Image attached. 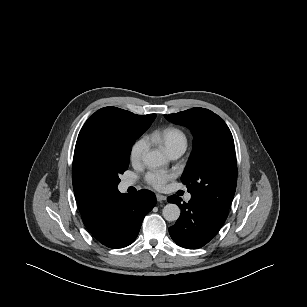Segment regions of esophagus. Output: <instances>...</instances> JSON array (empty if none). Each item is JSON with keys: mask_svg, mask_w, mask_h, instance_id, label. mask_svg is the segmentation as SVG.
I'll list each match as a JSON object with an SVG mask.
<instances>
[{"mask_svg": "<svg viewBox=\"0 0 307 307\" xmlns=\"http://www.w3.org/2000/svg\"><path fill=\"white\" fill-rule=\"evenodd\" d=\"M156 199H157L158 202H162V201L166 200V196L161 195V194H157Z\"/></svg>", "mask_w": 307, "mask_h": 307, "instance_id": "34e87169", "label": "esophagus"}]
</instances>
